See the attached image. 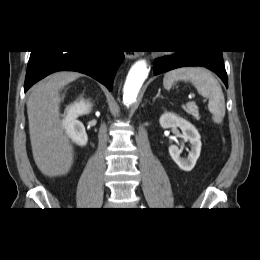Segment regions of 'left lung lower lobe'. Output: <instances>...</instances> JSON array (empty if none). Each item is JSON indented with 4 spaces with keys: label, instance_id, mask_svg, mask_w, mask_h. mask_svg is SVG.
I'll list each match as a JSON object with an SVG mask.
<instances>
[{
    "label": "left lung lower lobe",
    "instance_id": "obj_1",
    "mask_svg": "<svg viewBox=\"0 0 260 260\" xmlns=\"http://www.w3.org/2000/svg\"><path fill=\"white\" fill-rule=\"evenodd\" d=\"M187 66H200L213 71L228 88L227 73L220 50L183 51L180 54L158 58L155 60L154 75Z\"/></svg>",
    "mask_w": 260,
    "mask_h": 260
}]
</instances>
